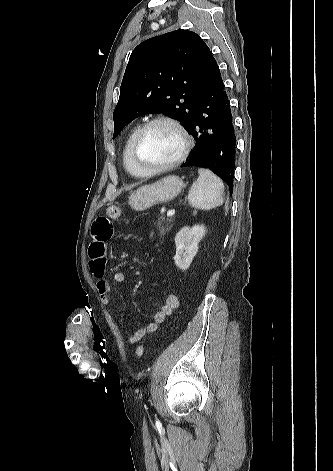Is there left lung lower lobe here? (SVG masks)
Segmentation results:
<instances>
[{
    "mask_svg": "<svg viewBox=\"0 0 333 471\" xmlns=\"http://www.w3.org/2000/svg\"><path fill=\"white\" fill-rule=\"evenodd\" d=\"M187 130L195 140L189 159L181 167L208 168L233 190L236 137L230 104L216 64L202 89Z\"/></svg>",
    "mask_w": 333,
    "mask_h": 471,
    "instance_id": "left-lung-lower-lobe-1",
    "label": "left lung lower lobe"
}]
</instances>
